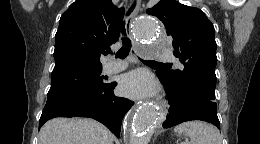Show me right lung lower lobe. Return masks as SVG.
Segmentation results:
<instances>
[{
  "label": "right lung lower lobe",
  "mask_w": 260,
  "mask_h": 144,
  "mask_svg": "<svg viewBox=\"0 0 260 144\" xmlns=\"http://www.w3.org/2000/svg\"><path fill=\"white\" fill-rule=\"evenodd\" d=\"M117 83H108L97 90L68 89L50 92L39 120V128L55 117L82 116L104 124L116 137H120L122 119L134 102L116 97Z\"/></svg>",
  "instance_id": "right-lung-lower-lobe-1"
}]
</instances>
